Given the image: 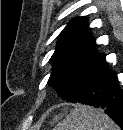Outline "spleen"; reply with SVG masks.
I'll return each mask as SVG.
<instances>
[{"label":"spleen","mask_w":123,"mask_h":130,"mask_svg":"<svg viewBox=\"0 0 123 130\" xmlns=\"http://www.w3.org/2000/svg\"><path fill=\"white\" fill-rule=\"evenodd\" d=\"M54 130H118V128L102 110L77 105Z\"/></svg>","instance_id":"3e777b00"}]
</instances>
